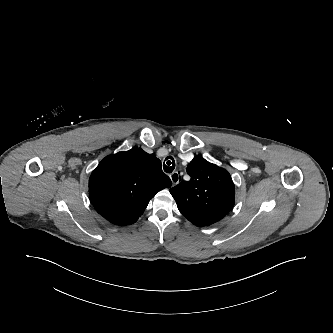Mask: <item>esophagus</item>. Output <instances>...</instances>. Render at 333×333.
<instances>
[{
	"label": "esophagus",
	"instance_id": "34e87169",
	"mask_svg": "<svg viewBox=\"0 0 333 333\" xmlns=\"http://www.w3.org/2000/svg\"><path fill=\"white\" fill-rule=\"evenodd\" d=\"M170 179L172 181L173 186L177 185L180 181V174L179 172L175 171L172 174H170Z\"/></svg>",
	"mask_w": 333,
	"mask_h": 333
}]
</instances>
